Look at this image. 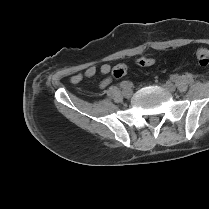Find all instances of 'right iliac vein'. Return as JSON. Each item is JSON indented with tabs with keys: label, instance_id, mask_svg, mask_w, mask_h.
I'll return each instance as SVG.
<instances>
[{
	"label": "right iliac vein",
	"instance_id": "63e3f726",
	"mask_svg": "<svg viewBox=\"0 0 209 209\" xmlns=\"http://www.w3.org/2000/svg\"><path fill=\"white\" fill-rule=\"evenodd\" d=\"M122 94H123V96L129 98L132 95V90L130 88H126L123 90Z\"/></svg>",
	"mask_w": 209,
	"mask_h": 209
}]
</instances>
